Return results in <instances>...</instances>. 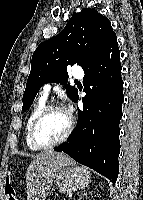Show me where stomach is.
<instances>
[{"instance_id":"obj_1","label":"stomach","mask_w":143,"mask_h":200,"mask_svg":"<svg viewBox=\"0 0 143 200\" xmlns=\"http://www.w3.org/2000/svg\"><path fill=\"white\" fill-rule=\"evenodd\" d=\"M90 182V172L86 167L68 165L56 175V186L61 193H71L83 189Z\"/></svg>"}]
</instances>
